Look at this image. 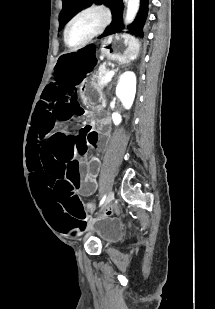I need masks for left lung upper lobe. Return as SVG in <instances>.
I'll use <instances>...</instances> for the list:
<instances>
[{"label": "left lung upper lobe", "instance_id": "1", "mask_svg": "<svg viewBox=\"0 0 215 309\" xmlns=\"http://www.w3.org/2000/svg\"><path fill=\"white\" fill-rule=\"evenodd\" d=\"M93 1L104 2L105 4H108L112 10V24L106 29L101 37L120 32L123 28L122 14L124 6L122 0H63V10L59 16L60 29L76 12ZM148 1L149 0H141L138 15L134 22L128 27V32L138 37L144 36L143 28L148 14Z\"/></svg>", "mask_w": 215, "mask_h": 309}]
</instances>
